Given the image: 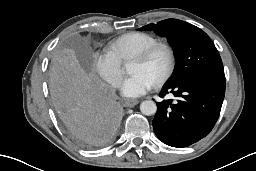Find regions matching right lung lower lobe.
<instances>
[{"label": "right lung lower lobe", "instance_id": "obj_1", "mask_svg": "<svg viewBox=\"0 0 256 171\" xmlns=\"http://www.w3.org/2000/svg\"><path fill=\"white\" fill-rule=\"evenodd\" d=\"M55 109L67 132L85 146L109 143L121 122V108L113 90L100 83L56 101Z\"/></svg>", "mask_w": 256, "mask_h": 171}]
</instances>
